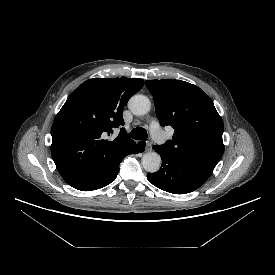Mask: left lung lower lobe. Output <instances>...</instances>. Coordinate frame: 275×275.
I'll return each mask as SVG.
<instances>
[{"label": "left lung lower lobe", "mask_w": 275, "mask_h": 275, "mask_svg": "<svg viewBox=\"0 0 275 275\" xmlns=\"http://www.w3.org/2000/svg\"><path fill=\"white\" fill-rule=\"evenodd\" d=\"M162 158L161 168L148 173V180L156 187L173 194H186L199 188L209 176L173 157L165 149L153 146Z\"/></svg>", "instance_id": "1"}]
</instances>
